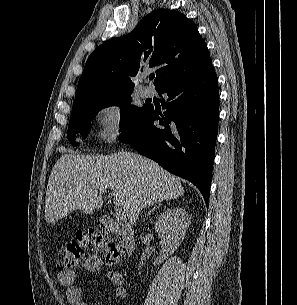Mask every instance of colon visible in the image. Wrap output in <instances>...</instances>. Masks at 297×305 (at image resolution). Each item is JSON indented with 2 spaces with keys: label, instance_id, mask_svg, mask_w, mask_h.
<instances>
[{
  "label": "colon",
  "instance_id": "5ec220e1",
  "mask_svg": "<svg viewBox=\"0 0 297 305\" xmlns=\"http://www.w3.org/2000/svg\"><path fill=\"white\" fill-rule=\"evenodd\" d=\"M89 251L102 252L110 265L119 264L122 257L119 241L105 230L92 228L77 233L56 250V266L61 271L74 269L86 260Z\"/></svg>",
  "mask_w": 297,
  "mask_h": 305
}]
</instances>
